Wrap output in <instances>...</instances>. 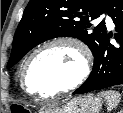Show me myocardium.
<instances>
[{
	"instance_id": "obj_1",
	"label": "myocardium",
	"mask_w": 123,
	"mask_h": 113,
	"mask_svg": "<svg viewBox=\"0 0 123 113\" xmlns=\"http://www.w3.org/2000/svg\"><path fill=\"white\" fill-rule=\"evenodd\" d=\"M59 44H65L73 47L80 55L81 58V68L78 76L71 82H69L67 85L52 91L51 93L48 94H36L33 92H30L28 86H27V72L30 63L32 60L43 50L59 45ZM92 71V53L90 51V48L88 45L82 41L81 39L75 37V36H58L55 38H52L41 45H39L37 48H35L30 55L27 57L26 61L24 62L21 70V75H20V80H21V85L23 89L31 96L35 98H40V99H49L52 98L56 95L63 94L66 92H69L79 85H81L90 75Z\"/></svg>"
}]
</instances>
